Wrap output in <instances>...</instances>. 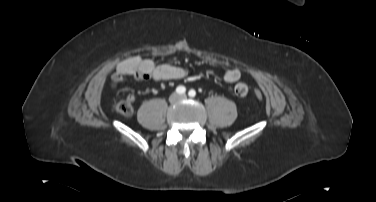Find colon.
Segmentation results:
<instances>
[{
	"mask_svg": "<svg viewBox=\"0 0 376 202\" xmlns=\"http://www.w3.org/2000/svg\"><path fill=\"white\" fill-rule=\"evenodd\" d=\"M255 96L258 100H261L263 98V93L257 90L255 92ZM133 102L134 97L132 95H127L123 100L119 101L115 105V109L121 115L130 116L134 111Z\"/></svg>",
	"mask_w": 376,
	"mask_h": 202,
	"instance_id": "5ec220e1",
	"label": "colon"
}]
</instances>
